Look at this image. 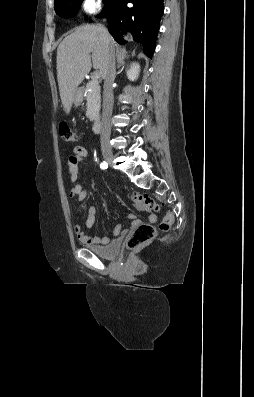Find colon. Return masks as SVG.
<instances>
[{
  "instance_id": "1",
  "label": "colon",
  "mask_w": 254,
  "mask_h": 397,
  "mask_svg": "<svg viewBox=\"0 0 254 397\" xmlns=\"http://www.w3.org/2000/svg\"><path fill=\"white\" fill-rule=\"evenodd\" d=\"M59 132L61 137L67 141L75 143L77 141V135L69 127L66 122H61L59 124ZM131 199L133 202L142 210L148 212H154L159 210V205L152 198L133 192L131 194ZM173 222V217L171 214H166L163 220L160 222L159 227H155L151 224H140L128 237L126 246L129 250H133L144 246L151 242L158 233V230L167 231L170 229Z\"/></svg>"
}]
</instances>
